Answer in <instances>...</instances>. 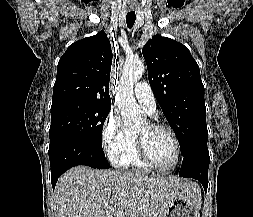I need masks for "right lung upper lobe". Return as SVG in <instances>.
Returning <instances> with one entry per match:
<instances>
[{
  "instance_id": "obj_1",
  "label": "right lung upper lobe",
  "mask_w": 253,
  "mask_h": 217,
  "mask_svg": "<svg viewBox=\"0 0 253 217\" xmlns=\"http://www.w3.org/2000/svg\"><path fill=\"white\" fill-rule=\"evenodd\" d=\"M112 57L104 31L71 44L58 62L52 104L79 100L111 105Z\"/></svg>"
}]
</instances>
